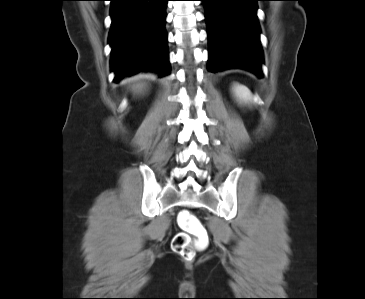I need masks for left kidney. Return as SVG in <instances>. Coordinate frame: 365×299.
<instances>
[{
	"mask_svg": "<svg viewBox=\"0 0 365 299\" xmlns=\"http://www.w3.org/2000/svg\"><path fill=\"white\" fill-rule=\"evenodd\" d=\"M232 90L234 96L240 103L247 104L253 101V96L246 86L236 83Z\"/></svg>",
	"mask_w": 365,
	"mask_h": 299,
	"instance_id": "1",
	"label": "left kidney"
}]
</instances>
